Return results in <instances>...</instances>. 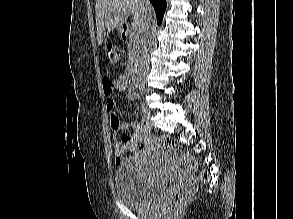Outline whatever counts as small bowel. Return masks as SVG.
Listing matches in <instances>:
<instances>
[{
    "mask_svg": "<svg viewBox=\"0 0 293 219\" xmlns=\"http://www.w3.org/2000/svg\"><path fill=\"white\" fill-rule=\"evenodd\" d=\"M126 86L125 76L120 77L116 81H112L109 78L103 79L104 94L107 109L110 114V126L112 130L115 132L127 129L131 130V133H124L114 139L115 162L118 166L136 162L150 142L145 130L137 122L120 121L115 113L113 94L116 91L125 90ZM126 96L129 100L138 99L137 93L131 89L127 90ZM127 153L130 154L126 155Z\"/></svg>",
    "mask_w": 293,
    "mask_h": 219,
    "instance_id": "small-bowel-1",
    "label": "small bowel"
}]
</instances>
